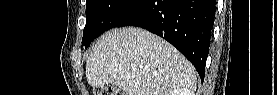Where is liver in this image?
<instances>
[{"label": "liver", "mask_w": 277, "mask_h": 95, "mask_svg": "<svg viewBox=\"0 0 277 95\" xmlns=\"http://www.w3.org/2000/svg\"><path fill=\"white\" fill-rule=\"evenodd\" d=\"M89 85H114L126 95H194L193 65L171 44L137 27L111 30L97 40L86 61Z\"/></svg>", "instance_id": "6515ba94"}]
</instances>
